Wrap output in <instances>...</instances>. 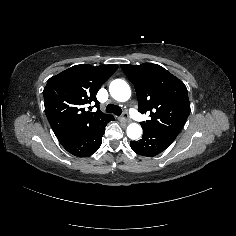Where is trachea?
Returning a JSON list of instances; mask_svg holds the SVG:
<instances>
[{"instance_id": "1", "label": "trachea", "mask_w": 236, "mask_h": 236, "mask_svg": "<svg viewBox=\"0 0 236 236\" xmlns=\"http://www.w3.org/2000/svg\"><path fill=\"white\" fill-rule=\"evenodd\" d=\"M106 112L107 113H114L116 115H121L122 109L115 104H108L106 107Z\"/></svg>"}]
</instances>
